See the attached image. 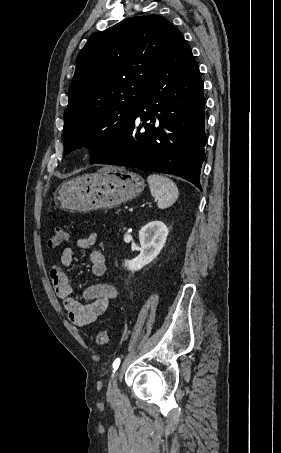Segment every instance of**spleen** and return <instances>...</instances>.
Masks as SVG:
<instances>
[{"mask_svg":"<svg viewBox=\"0 0 281 453\" xmlns=\"http://www.w3.org/2000/svg\"><path fill=\"white\" fill-rule=\"evenodd\" d=\"M147 182L152 196H155L159 208H168L178 198V188L170 178L162 174H149Z\"/></svg>","mask_w":281,"mask_h":453,"instance_id":"3e777b00","label":"spleen"}]
</instances>
